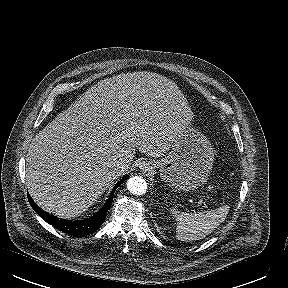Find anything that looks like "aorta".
I'll use <instances>...</instances> for the list:
<instances>
[{"instance_id":"obj_1","label":"aorta","mask_w":288,"mask_h":288,"mask_svg":"<svg viewBox=\"0 0 288 288\" xmlns=\"http://www.w3.org/2000/svg\"><path fill=\"white\" fill-rule=\"evenodd\" d=\"M127 189L134 195H143L147 191V183L140 176H132L127 180Z\"/></svg>"}]
</instances>
